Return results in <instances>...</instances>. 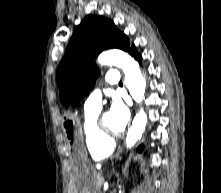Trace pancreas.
<instances>
[{
	"label": "pancreas",
	"instance_id": "1",
	"mask_svg": "<svg viewBox=\"0 0 221 193\" xmlns=\"http://www.w3.org/2000/svg\"><path fill=\"white\" fill-rule=\"evenodd\" d=\"M101 178V172L96 173L95 176V184H96V189L100 190L101 185L99 184V179Z\"/></svg>",
	"mask_w": 221,
	"mask_h": 193
}]
</instances>
